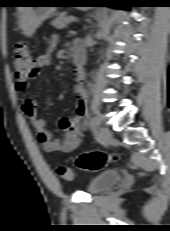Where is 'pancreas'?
<instances>
[{"instance_id": "cf45deb5", "label": "pancreas", "mask_w": 170, "mask_h": 231, "mask_svg": "<svg viewBox=\"0 0 170 231\" xmlns=\"http://www.w3.org/2000/svg\"><path fill=\"white\" fill-rule=\"evenodd\" d=\"M69 18L66 12L59 13L57 17L51 21V25L57 29L65 28Z\"/></svg>"}]
</instances>
